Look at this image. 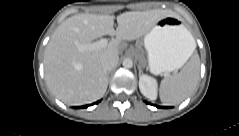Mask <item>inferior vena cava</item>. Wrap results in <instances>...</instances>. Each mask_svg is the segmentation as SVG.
Masks as SVG:
<instances>
[{"label": "inferior vena cava", "mask_w": 239, "mask_h": 136, "mask_svg": "<svg viewBox=\"0 0 239 136\" xmlns=\"http://www.w3.org/2000/svg\"><path fill=\"white\" fill-rule=\"evenodd\" d=\"M119 61V57L117 55H108L101 59V63L106 71H110L114 69Z\"/></svg>", "instance_id": "602c4592"}]
</instances>
